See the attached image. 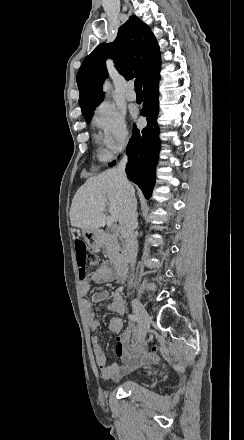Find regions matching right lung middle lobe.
I'll return each mask as SVG.
<instances>
[{"label":"right lung middle lobe","mask_w":244,"mask_h":440,"mask_svg":"<svg viewBox=\"0 0 244 440\" xmlns=\"http://www.w3.org/2000/svg\"><path fill=\"white\" fill-rule=\"evenodd\" d=\"M94 110L95 109H93L91 111H88V112H82L87 123H89L91 121V117H92V114H93Z\"/></svg>","instance_id":"right-lung-middle-lobe-1"}]
</instances>
